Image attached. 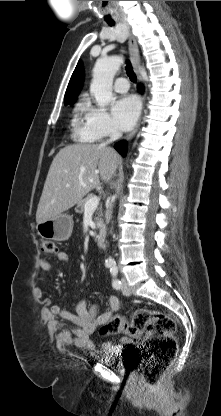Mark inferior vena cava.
<instances>
[{"label":"inferior vena cava","mask_w":221,"mask_h":416,"mask_svg":"<svg viewBox=\"0 0 221 416\" xmlns=\"http://www.w3.org/2000/svg\"><path fill=\"white\" fill-rule=\"evenodd\" d=\"M121 136V132L119 130H112L110 139L106 142H103L101 146L106 147L108 144L112 143L113 141L117 140Z\"/></svg>","instance_id":"inferior-vena-cava-1"}]
</instances>
